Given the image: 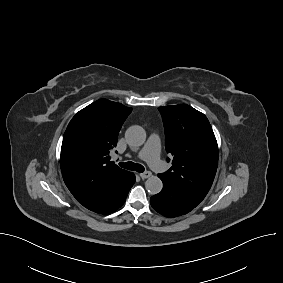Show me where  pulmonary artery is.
I'll return each instance as SVG.
<instances>
[{"mask_svg":"<svg viewBox=\"0 0 283 283\" xmlns=\"http://www.w3.org/2000/svg\"><path fill=\"white\" fill-rule=\"evenodd\" d=\"M160 138L157 134L152 133L143 149L139 152L138 157L148 162L156 171L162 172L164 164L160 159Z\"/></svg>","mask_w":283,"mask_h":283,"instance_id":"e3ab8cb5","label":"pulmonary artery"}]
</instances>
